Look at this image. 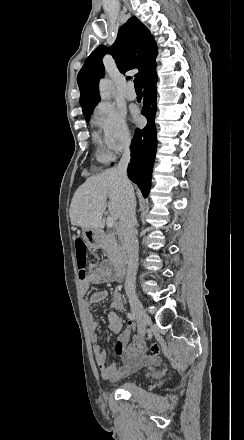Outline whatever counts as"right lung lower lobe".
<instances>
[{
    "label": "right lung lower lobe",
    "mask_w": 244,
    "mask_h": 440,
    "mask_svg": "<svg viewBox=\"0 0 244 440\" xmlns=\"http://www.w3.org/2000/svg\"><path fill=\"white\" fill-rule=\"evenodd\" d=\"M156 82L157 75L154 69L143 80L144 105L142 114L148 118V124L144 129H136L135 131L131 144V162L127 170L129 179L138 185L145 198L150 190L151 173L157 146L154 123Z\"/></svg>",
    "instance_id": "obj_1"
}]
</instances>
